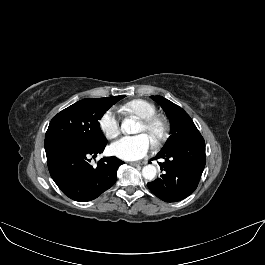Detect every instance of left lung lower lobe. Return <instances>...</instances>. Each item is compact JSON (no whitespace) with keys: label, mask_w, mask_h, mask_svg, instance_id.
<instances>
[{"label":"left lung lower lobe","mask_w":265,"mask_h":265,"mask_svg":"<svg viewBox=\"0 0 265 265\" xmlns=\"http://www.w3.org/2000/svg\"><path fill=\"white\" fill-rule=\"evenodd\" d=\"M159 162L162 175L147 184L150 191L165 202L185 199L197 188L205 167V141L199 137L159 152L153 159Z\"/></svg>","instance_id":"1"}]
</instances>
